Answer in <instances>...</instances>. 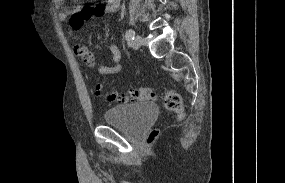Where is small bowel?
Returning <instances> with one entry per match:
<instances>
[{"instance_id": "small-bowel-1", "label": "small bowel", "mask_w": 285, "mask_h": 183, "mask_svg": "<svg viewBox=\"0 0 285 183\" xmlns=\"http://www.w3.org/2000/svg\"><path fill=\"white\" fill-rule=\"evenodd\" d=\"M58 4L62 5L66 0H57ZM121 0H107L105 4H99L93 8L84 6L79 10H73V8L65 9L59 14L61 21H68L73 29L79 30L84 24L91 18L98 17L104 14H114L120 6ZM96 49H100L97 45ZM110 51L112 58L109 64L97 66L94 55L89 51L85 44H77L74 47V53L79 58L84 67L90 69H96L101 75H112L119 73L122 69L120 63L121 53L118 47L112 43L110 45Z\"/></svg>"}]
</instances>
